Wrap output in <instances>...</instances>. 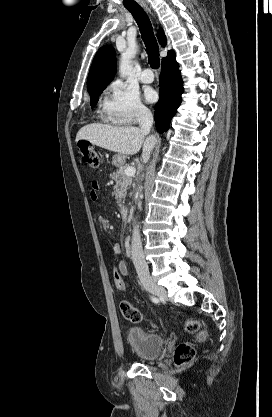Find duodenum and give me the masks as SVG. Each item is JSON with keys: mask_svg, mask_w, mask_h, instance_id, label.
I'll return each instance as SVG.
<instances>
[{"mask_svg": "<svg viewBox=\"0 0 272 417\" xmlns=\"http://www.w3.org/2000/svg\"><path fill=\"white\" fill-rule=\"evenodd\" d=\"M120 213H121L122 217L126 219L128 217V208H127V206L122 205L120 207Z\"/></svg>", "mask_w": 272, "mask_h": 417, "instance_id": "410a0bca", "label": "duodenum"}]
</instances>
